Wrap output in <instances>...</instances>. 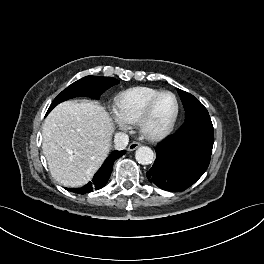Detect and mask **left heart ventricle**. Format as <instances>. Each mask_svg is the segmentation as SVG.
<instances>
[{
	"label": "left heart ventricle",
	"mask_w": 264,
	"mask_h": 264,
	"mask_svg": "<svg viewBox=\"0 0 264 264\" xmlns=\"http://www.w3.org/2000/svg\"><path fill=\"white\" fill-rule=\"evenodd\" d=\"M175 100L171 95H164L155 105L152 116L147 124L149 131H159L164 128L175 112Z\"/></svg>",
	"instance_id": "left-heart-ventricle-1"
}]
</instances>
